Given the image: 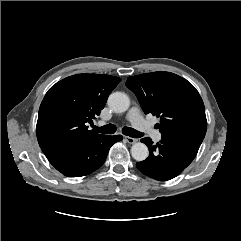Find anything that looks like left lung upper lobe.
<instances>
[{
	"label": "left lung upper lobe",
	"mask_w": 241,
	"mask_h": 241,
	"mask_svg": "<svg viewBox=\"0 0 241 241\" xmlns=\"http://www.w3.org/2000/svg\"><path fill=\"white\" fill-rule=\"evenodd\" d=\"M145 114L160 117L156 124L162 136L204 139L207 120L204 103L196 88L170 72L145 73L128 77Z\"/></svg>",
	"instance_id": "1"
}]
</instances>
